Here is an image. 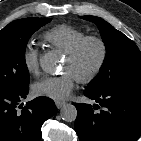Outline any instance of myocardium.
Listing matches in <instances>:
<instances>
[{"label":"myocardium","mask_w":141,"mask_h":141,"mask_svg":"<svg viewBox=\"0 0 141 141\" xmlns=\"http://www.w3.org/2000/svg\"><path fill=\"white\" fill-rule=\"evenodd\" d=\"M90 44L97 45L99 49V56L95 65L89 71L80 73L76 76V79L83 84L94 81L102 72L108 57V47L106 41L98 35H86L66 53V57L72 63H76L81 58L86 47Z\"/></svg>","instance_id":"obj_1"}]
</instances>
